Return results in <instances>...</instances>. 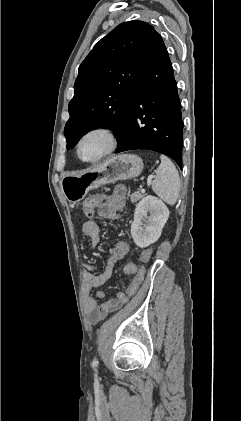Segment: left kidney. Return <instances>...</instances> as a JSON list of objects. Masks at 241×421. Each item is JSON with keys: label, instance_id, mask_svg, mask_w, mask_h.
Returning <instances> with one entry per match:
<instances>
[{"label": "left kidney", "instance_id": "1", "mask_svg": "<svg viewBox=\"0 0 241 421\" xmlns=\"http://www.w3.org/2000/svg\"><path fill=\"white\" fill-rule=\"evenodd\" d=\"M150 216H147V213ZM169 217V209L157 197H144L135 208L131 235L135 244L141 248L155 243L161 236L162 229Z\"/></svg>", "mask_w": 241, "mask_h": 421}]
</instances>
